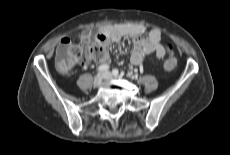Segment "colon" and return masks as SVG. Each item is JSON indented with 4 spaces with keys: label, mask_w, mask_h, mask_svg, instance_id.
<instances>
[{
    "label": "colon",
    "mask_w": 230,
    "mask_h": 155,
    "mask_svg": "<svg viewBox=\"0 0 230 155\" xmlns=\"http://www.w3.org/2000/svg\"><path fill=\"white\" fill-rule=\"evenodd\" d=\"M170 56H165L161 60V67L165 71H172L177 66V60L174 55L172 44L167 46ZM105 54V49L101 44L87 43H69L66 40H62L55 57V63L57 68L61 72H68L75 63H88L90 61H96L101 59Z\"/></svg>",
    "instance_id": "5ec220e1"
}]
</instances>
